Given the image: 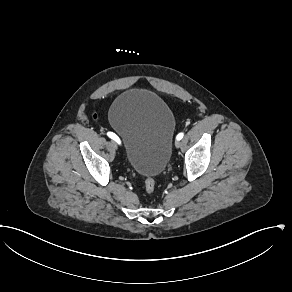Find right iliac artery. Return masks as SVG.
<instances>
[{
	"mask_svg": "<svg viewBox=\"0 0 292 292\" xmlns=\"http://www.w3.org/2000/svg\"><path fill=\"white\" fill-rule=\"evenodd\" d=\"M107 135L108 137L116 141L118 144H120V139L118 138L116 134H114L113 132H108Z\"/></svg>",
	"mask_w": 292,
	"mask_h": 292,
	"instance_id": "obj_1",
	"label": "right iliac artery"
}]
</instances>
